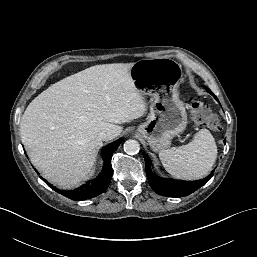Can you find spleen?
<instances>
[{"label": "spleen", "instance_id": "obj_1", "mask_svg": "<svg viewBox=\"0 0 257 257\" xmlns=\"http://www.w3.org/2000/svg\"><path fill=\"white\" fill-rule=\"evenodd\" d=\"M217 157V145L208 129H201L186 145L161 150L159 158L173 177L196 180L206 176Z\"/></svg>", "mask_w": 257, "mask_h": 257}]
</instances>
